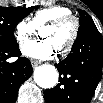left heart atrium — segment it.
<instances>
[{
    "mask_svg": "<svg viewBox=\"0 0 103 103\" xmlns=\"http://www.w3.org/2000/svg\"><path fill=\"white\" fill-rule=\"evenodd\" d=\"M57 50L53 41L48 38L29 41L22 46V53L33 59H49Z\"/></svg>",
    "mask_w": 103,
    "mask_h": 103,
    "instance_id": "obj_1",
    "label": "left heart atrium"
}]
</instances>
